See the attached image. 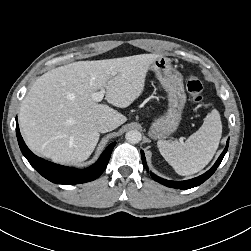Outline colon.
<instances>
[{
	"mask_svg": "<svg viewBox=\"0 0 251 251\" xmlns=\"http://www.w3.org/2000/svg\"><path fill=\"white\" fill-rule=\"evenodd\" d=\"M186 89L195 103H200L203 100V85L195 76L190 75L186 81Z\"/></svg>",
	"mask_w": 251,
	"mask_h": 251,
	"instance_id": "obj_1",
	"label": "colon"
}]
</instances>
